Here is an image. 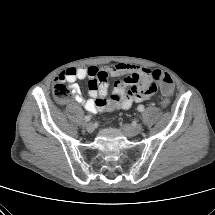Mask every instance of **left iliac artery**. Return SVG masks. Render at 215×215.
Instances as JSON below:
<instances>
[{
    "label": "left iliac artery",
    "instance_id": "left-iliac-artery-1",
    "mask_svg": "<svg viewBox=\"0 0 215 215\" xmlns=\"http://www.w3.org/2000/svg\"><path fill=\"white\" fill-rule=\"evenodd\" d=\"M137 109H138L139 112H143L144 111V106L143 105H139Z\"/></svg>",
    "mask_w": 215,
    "mask_h": 215
}]
</instances>
